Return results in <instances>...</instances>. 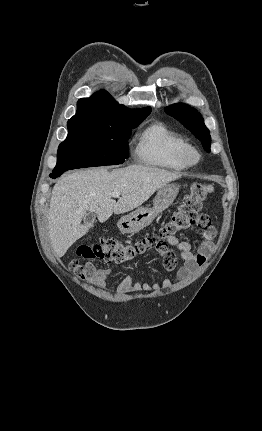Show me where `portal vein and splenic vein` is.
I'll use <instances>...</instances> for the list:
<instances>
[{
    "label": "portal vein and splenic vein",
    "instance_id": "obj_1",
    "mask_svg": "<svg viewBox=\"0 0 262 431\" xmlns=\"http://www.w3.org/2000/svg\"><path fill=\"white\" fill-rule=\"evenodd\" d=\"M120 194L121 193L119 191H114V192L111 193V196L114 197V198H118L120 196Z\"/></svg>",
    "mask_w": 262,
    "mask_h": 431
}]
</instances>
